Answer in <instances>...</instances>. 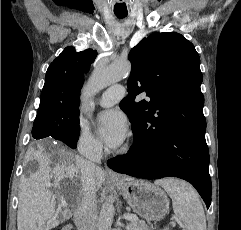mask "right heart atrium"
Instances as JSON below:
<instances>
[{
    "label": "right heart atrium",
    "mask_w": 241,
    "mask_h": 230,
    "mask_svg": "<svg viewBox=\"0 0 241 230\" xmlns=\"http://www.w3.org/2000/svg\"><path fill=\"white\" fill-rule=\"evenodd\" d=\"M76 145L78 151L88 157L97 156L103 150L101 142L83 128H81L77 134Z\"/></svg>",
    "instance_id": "1"
}]
</instances>
